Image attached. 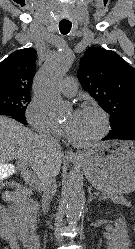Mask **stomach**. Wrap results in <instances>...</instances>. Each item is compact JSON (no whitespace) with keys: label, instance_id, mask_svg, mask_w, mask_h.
<instances>
[{"label":"stomach","instance_id":"1","mask_svg":"<svg viewBox=\"0 0 135 249\" xmlns=\"http://www.w3.org/2000/svg\"><path fill=\"white\" fill-rule=\"evenodd\" d=\"M89 182L110 195L135 191V142L112 140L96 145L81 155Z\"/></svg>","mask_w":135,"mask_h":249}]
</instances>
